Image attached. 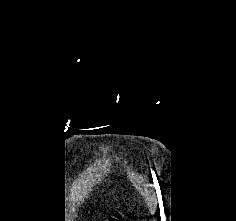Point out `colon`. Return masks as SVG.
<instances>
[{"instance_id": "1", "label": "colon", "mask_w": 236, "mask_h": 221, "mask_svg": "<svg viewBox=\"0 0 236 221\" xmlns=\"http://www.w3.org/2000/svg\"><path fill=\"white\" fill-rule=\"evenodd\" d=\"M109 221H121V217L120 216H114V217L110 218Z\"/></svg>"}]
</instances>
